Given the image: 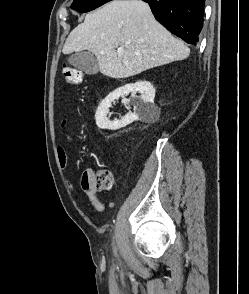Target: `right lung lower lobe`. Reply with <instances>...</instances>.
Returning a JSON list of instances; mask_svg holds the SVG:
<instances>
[{
	"instance_id": "right-lung-lower-lobe-1",
	"label": "right lung lower lobe",
	"mask_w": 249,
	"mask_h": 294,
	"mask_svg": "<svg viewBox=\"0 0 249 294\" xmlns=\"http://www.w3.org/2000/svg\"><path fill=\"white\" fill-rule=\"evenodd\" d=\"M157 21L189 44L196 45L203 27L205 0H143Z\"/></svg>"
}]
</instances>
